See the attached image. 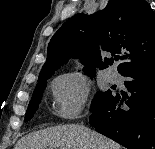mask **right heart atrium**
Listing matches in <instances>:
<instances>
[{"label":"right heart atrium","mask_w":155,"mask_h":149,"mask_svg":"<svg viewBox=\"0 0 155 149\" xmlns=\"http://www.w3.org/2000/svg\"><path fill=\"white\" fill-rule=\"evenodd\" d=\"M55 114L64 120L77 118L84 110L89 85L77 73H65L57 76L51 85Z\"/></svg>","instance_id":"obj_1"}]
</instances>
